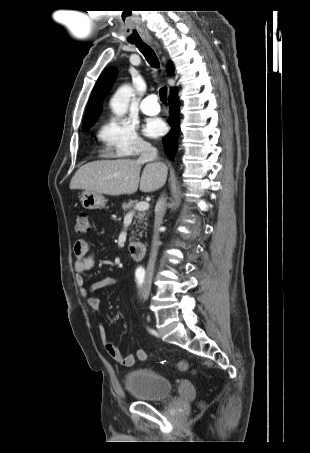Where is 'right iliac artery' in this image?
<instances>
[{"mask_svg":"<svg viewBox=\"0 0 310 453\" xmlns=\"http://www.w3.org/2000/svg\"><path fill=\"white\" fill-rule=\"evenodd\" d=\"M135 276H136V280H137L138 286L141 287L143 285V283H144L145 273L144 272H136Z\"/></svg>","mask_w":310,"mask_h":453,"instance_id":"1","label":"right iliac artery"}]
</instances>
